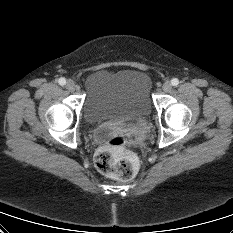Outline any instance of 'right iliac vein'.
Listing matches in <instances>:
<instances>
[{"label": "right iliac vein", "instance_id": "1", "mask_svg": "<svg viewBox=\"0 0 233 233\" xmlns=\"http://www.w3.org/2000/svg\"><path fill=\"white\" fill-rule=\"evenodd\" d=\"M66 88H67L69 91H71V92L75 91V89H76V84H75V82H74L73 80L69 79V80L66 82Z\"/></svg>", "mask_w": 233, "mask_h": 233}]
</instances>
